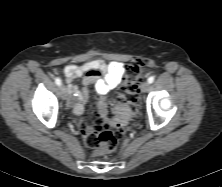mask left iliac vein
Masks as SVG:
<instances>
[{"label": "left iliac vein", "instance_id": "4c4485c4", "mask_svg": "<svg viewBox=\"0 0 222 187\" xmlns=\"http://www.w3.org/2000/svg\"><path fill=\"white\" fill-rule=\"evenodd\" d=\"M149 87H150L149 82L145 81V82H143L142 85H141V91H142L143 93H145V92H147V91L149 90Z\"/></svg>", "mask_w": 222, "mask_h": 187}]
</instances>
